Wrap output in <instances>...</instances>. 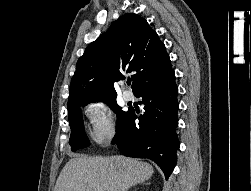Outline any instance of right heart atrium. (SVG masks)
Instances as JSON below:
<instances>
[{
  "mask_svg": "<svg viewBox=\"0 0 251 191\" xmlns=\"http://www.w3.org/2000/svg\"><path fill=\"white\" fill-rule=\"evenodd\" d=\"M90 140L97 146H105L116 134V125L111 109L104 102H90L84 108Z\"/></svg>",
  "mask_w": 251,
  "mask_h": 191,
  "instance_id": "right-heart-atrium-1",
  "label": "right heart atrium"
}]
</instances>
